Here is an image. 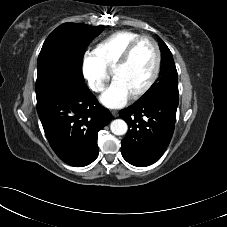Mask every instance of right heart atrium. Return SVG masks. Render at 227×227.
I'll use <instances>...</instances> for the list:
<instances>
[{
	"label": "right heart atrium",
	"mask_w": 227,
	"mask_h": 227,
	"mask_svg": "<svg viewBox=\"0 0 227 227\" xmlns=\"http://www.w3.org/2000/svg\"><path fill=\"white\" fill-rule=\"evenodd\" d=\"M81 71L89 87L95 92H101L109 80V73L95 52L86 51L83 54Z\"/></svg>",
	"instance_id": "d8ad5b80"
}]
</instances>
